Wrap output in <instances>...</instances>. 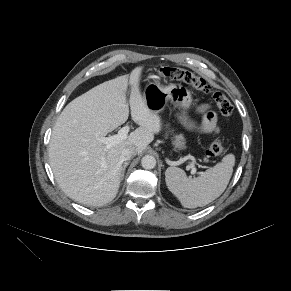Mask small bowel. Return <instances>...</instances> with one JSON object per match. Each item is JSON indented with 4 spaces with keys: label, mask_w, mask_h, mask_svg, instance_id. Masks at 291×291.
<instances>
[{
    "label": "small bowel",
    "mask_w": 291,
    "mask_h": 291,
    "mask_svg": "<svg viewBox=\"0 0 291 291\" xmlns=\"http://www.w3.org/2000/svg\"><path fill=\"white\" fill-rule=\"evenodd\" d=\"M200 111L205 112L200 129L204 133H217L219 131V126L217 124L216 115L213 112L208 111L206 106H202Z\"/></svg>",
    "instance_id": "c3829d8e"
}]
</instances>
